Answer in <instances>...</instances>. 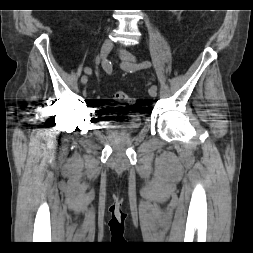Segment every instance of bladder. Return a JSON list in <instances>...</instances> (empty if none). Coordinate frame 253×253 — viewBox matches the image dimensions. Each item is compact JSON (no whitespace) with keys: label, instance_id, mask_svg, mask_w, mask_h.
Masks as SVG:
<instances>
[{"label":"bladder","instance_id":"obj_1","mask_svg":"<svg viewBox=\"0 0 253 253\" xmlns=\"http://www.w3.org/2000/svg\"><path fill=\"white\" fill-rule=\"evenodd\" d=\"M141 124V118L124 114L123 117L118 120L101 123L100 128L122 133H131L137 130Z\"/></svg>","mask_w":253,"mask_h":253}]
</instances>
